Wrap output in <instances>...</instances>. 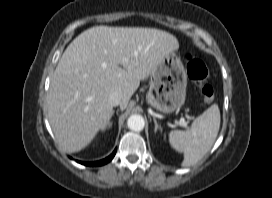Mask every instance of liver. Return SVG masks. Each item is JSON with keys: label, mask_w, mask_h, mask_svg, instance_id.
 Returning <instances> with one entry per match:
<instances>
[{"label": "liver", "mask_w": 272, "mask_h": 198, "mask_svg": "<svg viewBox=\"0 0 272 198\" xmlns=\"http://www.w3.org/2000/svg\"><path fill=\"white\" fill-rule=\"evenodd\" d=\"M179 48L172 34L141 27L96 26L66 48L51 79L48 118L60 147L78 152L112 117L109 96L118 92L125 109L140 81Z\"/></svg>", "instance_id": "6515ba94"}]
</instances>
